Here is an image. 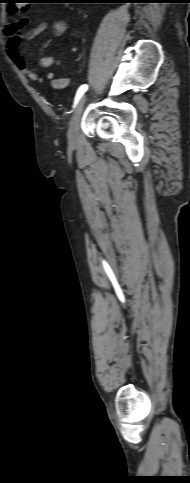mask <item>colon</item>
<instances>
[{
  "mask_svg": "<svg viewBox=\"0 0 190 483\" xmlns=\"http://www.w3.org/2000/svg\"><path fill=\"white\" fill-rule=\"evenodd\" d=\"M27 0H12L8 4V11L12 15H17L25 11Z\"/></svg>",
  "mask_w": 190,
  "mask_h": 483,
  "instance_id": "1",
  "label": "colon"
}]
</instances>
